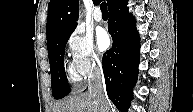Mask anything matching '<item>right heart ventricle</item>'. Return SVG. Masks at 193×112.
Listing matches in <instances>:
<instances>
[{
	"label": "right heart ventricle",
	"mask_w": 193,
	"mask_h": 112,
	"mask_svg": "<svg viewBox=\"0 0 193 112\" xmlns=\"http://www.w3.org/2000/svg\"><path fill=\"white\" fill-rule=\"evenodd\" d=\"M68 77L71 81L75 82L78 80V76L75 74V72L71 69H68Z\"/></svg>",
	"instance_id": "obj_1"
}]
</instances>
